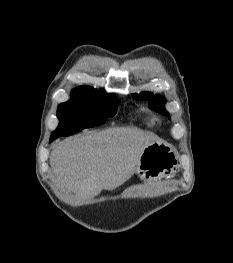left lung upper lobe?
Wrapping results in <instances>:
<instances>
[{"instance_id": "1", "label": "left lung upper lobe", "mask_w": 233, "mask_h": 263, "mask_svg": "<svg viewBox=\"0 0 233 263\" xmlns=\"http://www.w3.org/2000/svg\"><path fill=\"white\" fill-rule=\"evenodd\" d=\"M133 97L138 99V100H147L151 98L150 101V108L160 112L162 114L168 115L169 113L165 110V108L163 107L164 103H165V99L162 96L159 95H155L153 96L152 93L149 92H143L140 94H133Z\"/></svg>"}]
</instances>
